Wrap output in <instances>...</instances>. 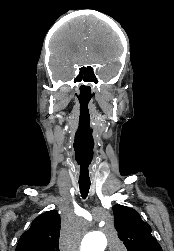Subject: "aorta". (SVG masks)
Segmentation results:
<instances>
[{
	"label": "aorta",
	"mask_w": 174,
	"mask_h": 251,
	"mask_svg": "<svg viewBox=\"0 0 174 251\" xmlns=\"http://www.w3.org/2000/svg\"><path fill=\"white\" fill-rule=\"evenodd\" d=\"M112 246L118 242L114 234L110 237ZM107 245V238L103 232L88 233L81 244V251H104Z\"/></svg>",
	"instance_id": "762f6f07"
}]
</instances>
